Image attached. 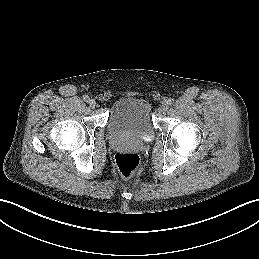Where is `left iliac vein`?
Wrapping results in <instances>:
<instances>
[{
  "instance_id": "1",
  "label": "left iliac vein",
  "mask_w": 259,
  "mask_h": 259,
  "mask_svg": "<svg viewBox=\"0 0 259 259\" xmlns=\"http://www.w3.org/2000/svg\"><path fill=\"white\" fill-rule=\"evenodd\" d=\"M168 108H169L168 102H164V103L162 104V106H161V111H162L163 113H165V112H167Z\"/></svg>"
}]
</instances>
